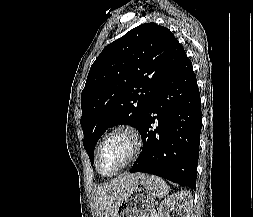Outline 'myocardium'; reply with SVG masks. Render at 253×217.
I'll use <instances>...</instances> for the list:
<instances>
[{
  "mask_svg": "<svg viewBox=\"0 0 253 217\" xmlns=\"http://www.w3.org/2000/svg\"><path fill=\"white\" fill-rule=\"evenodd\" d=\"M116 134L126 135L131 141L132 150H131V153H130L129 157L127 158V160L119 168H117L114 172H112L110 174H104L99 170L100 151H101L103 145L106 143V141ZM142 147H143L142 138H141V135L137 129H135L131 126H128V125L116 126V127L112 128L110 131H108L101 138V140L99 141V143L96 147L95 169L101 176H104V177L114 176V175L120 173L125 168H127L129 165H131L139 157V155L141 154V151H142Z\"/></svg>",
  "mask_w": 253,
  "mask_h": 217,
  "instance_id": "1",
  "label": "myocardium"
}]
</instances>
